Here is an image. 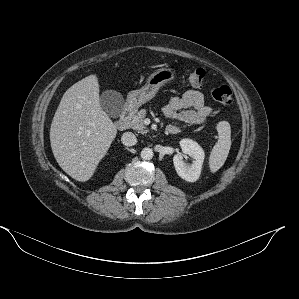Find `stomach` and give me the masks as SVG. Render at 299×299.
<instances>
[{"label":"stomach","instance_id":"0dacf381","mask_svg":"<svg viewBox=\"0 0 299 299\" xmlns=\"http://www.w3.org/2000/svg\"><path fill=\"white\" fill-rule=\"evenodd\" d=\"M175 70L170 68H161L151 74L145 85L138 90L131 91L127 97V106L136 110L146 102L150 101L157 94L159 89L166 83L174 80Z\"/></svg>","mask_w":299,"mask_h":299}]
</instances>
